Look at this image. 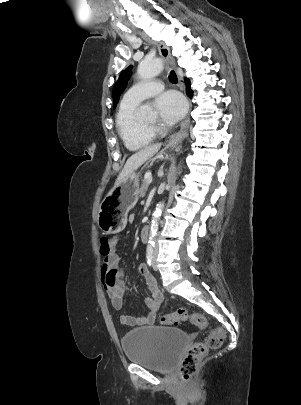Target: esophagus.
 I'll use <instances>...</instances> for the list:
<instances>
[{
    "label": "esophagus",
    "mask_w": 301,
    "mask_h": 405,
    "mask_svg": "<svg viewBox=\"0 0 301 405\" xmlns=\"http://www.w3.org/2000/svg\"><path fill=\"white\" fill-rule=\"evenodd\" d=\"M140 35L142 36V38L144 40L152 42V39L149 36H147L145 33H141ZM157 46L159 49V53H160L161 57L163 58V60L165 61L168 68L175 69L176 62L170 53V49L163 42H158ZM189 122H190L189 115H187L185 120L181 123V127H180L179 131L176 132L175 134H173L169 138V141L167 143L168 146L173 147L183 140V138L188 133Z\"/></svg>",
    "instance_id": "esophagus-1"
}]
</instances>
